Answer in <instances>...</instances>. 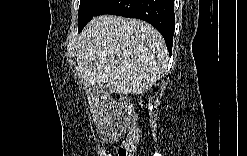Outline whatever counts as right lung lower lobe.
Wrapping results in <instances>:
<instances>
[{
  "mask_svg": "<svg viewBox=\"0 0 247 156\" xmlns=\"http://www.w3.org/2000/svg\"><path fill=\"white\" fill-rule=\"evenodd\" d=\"M102 14L138 18L150 23L162 34L169 53H172L174 0H108L96 16Z\"/></svg>",
  "mask_w": 247,
  "mask_h": 156,
  "instance_id": "right-lung-lower-lobe-1",
  "label": "right lung lower lobe"
}]
</instances>
